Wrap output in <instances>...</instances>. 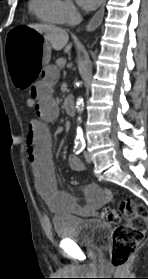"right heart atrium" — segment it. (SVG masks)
I'll list each match as a JSON object with an SVG mask.
<instances>
[{
    "instance_id": "1",
    "label": "right heart atrium",
    "mask_w": 148,
    "mask_h": 279,
    "mask_svg": "<svg viewBox=\"0 0 148 279\" xmlns=\"http://www.w3.org/2000/svg\"><path fill=\"white\" fill-rule=\"evenodd\" d=\"M60 10L65 22L72 23L79 17L77 8L70 0H60Z\"/></svg>"
}]
</instances>
